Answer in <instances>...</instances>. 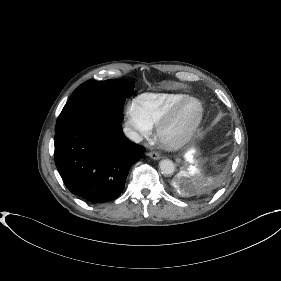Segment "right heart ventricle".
<instances>
[{"mask_svg":"<svg viewBox=\"0 0 281 281\" xmlns=\"http://www.w3.org/2000/svg\"><path fill=\"white\" fill-rule=\"evenodd\" d=\"M185 97L186 94L175 92L144 93L136 98L135 103L144 122L153 128Z\"/></svg>","mask_w":281,"mask_h":281,"instance_id":"1","label":"right heart ventricle"}]
</instances>
